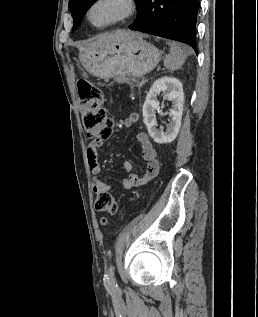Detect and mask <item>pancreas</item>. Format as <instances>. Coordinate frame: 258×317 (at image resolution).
Returning <instances> with one entry per match:
<instances>
[{"mask_svg": "<svg viewBox=\"0 0 258 317\" xmlns=\"http://www.w3.org/2000/svg\"><path fill=\"white\" fill-rule=\"evenodd\" d=\"M127 80H128V78H127ZM129 84H130L131 88H134V86H137V84H133V82H129Z\"/></svg>", "mask_w": 258, "mask_h": 317, "instance_id": "obj_1", "label": "pancreas"}]
</instances>
